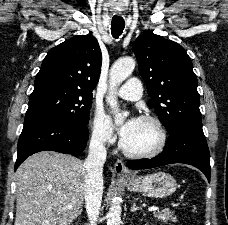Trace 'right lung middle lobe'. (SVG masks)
<instances>
[{
	"label": "right lung middle lobe",
	"mask_w": 228,
	"mask_h": 225,
	"mask_svg": "<svg viewBox=\"0 0 228 225\" xmlns=\"http://www.w3.org/2000/svg\"><path fill=\"white\" fill-rule=\"evenodd\" d=\"M92 93L60 83L34 85L25 119L57 116L87 126Z\"/></svg>",
	"instance_id": "right-lung-middle-lobe-1"
}]
</instances>
